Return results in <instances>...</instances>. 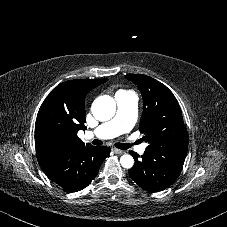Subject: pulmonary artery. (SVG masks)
<instances>
[{
    "label": "pulmonary artery",
    "mask_w": 227,
    "mask_h": 227,
    "mask_svg": "<svg viewBox=\"0 0 227 227\" xmlns=\"http://www.w3.org/2000/svg\"><path fill=\"white\" fill-rule=\"evenodd\" d=\"M118 111L109 121L100 124L93 131L85 134V139H112L120 135L129 133L135 125L137 117V96L134 93L118 95L115 97ZM145 145L138 147V151L143 154Z\"/></svg>",
    "instance_id": "obj_1"
}]
</instances>
